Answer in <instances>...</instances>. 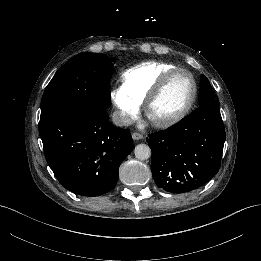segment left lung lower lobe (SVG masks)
Returning a JSON list of instances; mask_svg holds the SVG:
<instances>
[{"instance_id": "1", "label": "left lung lower lobe", "mask_w": 261, "mask_h": 261, "mask_svg": "<svg viewBox=\"0 0 261 261\" xmlns=\"http://www.w3.org/2000/svg\"><path fill=\"white\" fill-rule=\"evenodd\" d=\"M148 136L146 141L154 151L152 175L165 191L196 190L219 171L225 128L215 100L201 104L176 125Z\"/></svg>"}]
</instances>
